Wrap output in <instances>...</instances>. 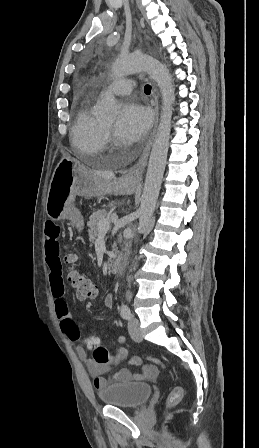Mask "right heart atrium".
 Here are the masks:
<instances>
[{
	"label": "right heart atrium",
	"mask_w": 259,
	"mask_h": 448,
	"mask_svg": "<svg viewBox=\"0 0 259 448\" xmlns=\"http://www.w3.org/2000/svg\"><path fill=\"white\" fill-rule=\"evenodd\" d=\"M105 143H106V146H109V147H112L114 145V139L112 138V136L110 134L105 135Z\"/></svg>",
	"instance_id": "obj_1"
}]
</instances>
